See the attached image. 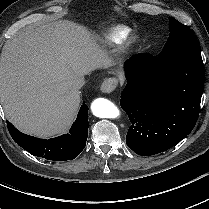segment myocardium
<instances>
[{
    "label": "myocardium",
    "mask_w": 209,
    "mask_h": 209,
    "mask_svg": "<svg viewBox=\"0 0 209 209\" xmlns=\"http://www.w3.org/2000/svg\"><path fill=\"white\" fill-rule=\"evenodd\" d=\"M135 42H136V37L133 36V35H130V36L126 37L125 40H124V43L126 45H131V44H134Z\"/></svg>",
    "instance_id": "myocardium-1"
}]
</instances>
